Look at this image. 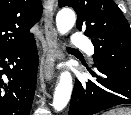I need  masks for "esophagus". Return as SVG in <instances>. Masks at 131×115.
<instances>
[{
    "label": "esophagus",
    "mask_w": 131,
    "mask_h": 115,
    "mask_svg": "<svg viewBox=\"0 0 131 115\" xmlns=\"http://www.w3.org/2000/svg\"><path fill=\"white\" fill-rule=\"evenodd\" d=\"M44 34L47 43V55L43 66L44 77L50 81L54 76V66L56 59L63 57L62 51L57 41V31L53 22L55 2L46 1L44 5Z\"/></svg>",
    "instance_id": "1"
}]
</instances>
